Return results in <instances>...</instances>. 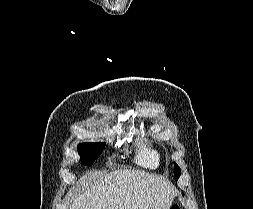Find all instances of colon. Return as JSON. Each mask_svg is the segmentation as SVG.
I'll use <instances>...</instances> for the list:
<instances>
[{
  "label": "colon",
  "instance_id": "5ec220e1",
  "mask_svg": "<svg viewBox=\"0 0 253 209\" xmlns=\"http://www.w3.org/2000/svg\"><path fill=\"white\" fill-rule=\"evenodd\" d=\"M171 209H180L177 205H173Z\"/></svg>",
  "mask_w": 253,
  "mask_h": 209
}]
</instances>
